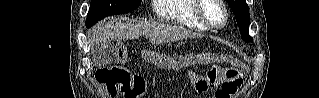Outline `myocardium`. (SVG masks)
Listing matches in <instances>:
<instances>
[{"label":"myocardium","mask_w":319,"mask_h":98,"mask_svg":"<svg viewBox=\"0 0 319 98\" xmlns=\"http://www.w3.org/2000/svg\"><path fill=\"white\" fill-rule=\"evenodd\" d=\"M208 1H213L214 3H216L222 9V11H223V20H222L221 23L217 24V23L212 22L206 16V14L204 13L205 4ZM196 15L199 18V20L205 26H207L208 28H211V29H218V28L223 27L227 23V20H228L227 8H226L224 2L221 1V0H197V3H196Z\"/></svg>","instance_id":"myocardium-1"}]
</instances>
